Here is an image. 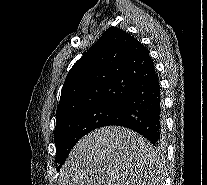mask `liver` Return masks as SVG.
Returning a JSON list of instances; mask_svg holds the SVG:
<instances>
[{"mask_svg": "<svg viewBox=\"0 0 207 185\" xmlns=\"http://www.w3.org/2000/svg\"><path fill=\"white\" fill-rule=\"evenodd\" d=\"M153 159L151 143L139 133L126 127H100L70 151L61 185H151Z\"/></svg>", "mask_w": 207, "mask_h": 185, "instance_id": "6515ba94", "label": "liver"}]
</instances>
